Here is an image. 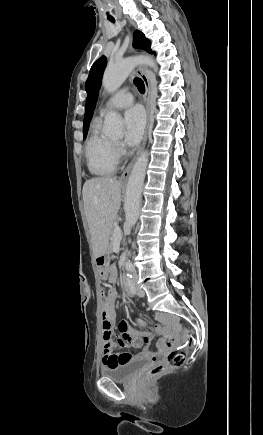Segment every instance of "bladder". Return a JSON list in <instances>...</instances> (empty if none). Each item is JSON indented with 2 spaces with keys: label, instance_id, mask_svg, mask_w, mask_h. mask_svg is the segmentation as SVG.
<instances>
[{
  "label": "bladder",
  "instance_id": "bladder-1",
  "mask_svg": "<svg viewBox=\"0 0 263 435\" xmlns=\"http://www.w3.org/2000/svg\"><path fill=\"white\" fill-rule=\"evenodd\" d=\"M147 359L136 358L115 366H103L100 373L103 377L116 382H126L130 380L145 364Z\"/></svg>",
  "mask_w": 263,
  "mask_h": 435
}]
</instances>
